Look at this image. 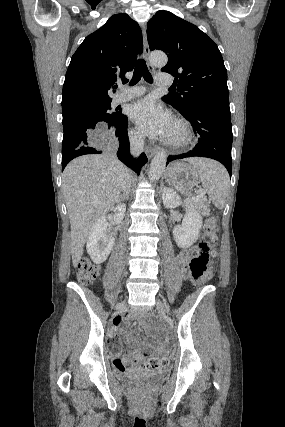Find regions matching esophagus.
Segmentation results:
<instances>
[{
    "label": "esophagus",
    "mask_w": 285,
    "mask_h": 427,
    "mask_svg": "<svg viewBox=\"0 0 285 427\" xmlns=\"http://www.w3.org/2000/svg\"><path fill=\"white\" fill-rule=\"evenodd\" d=\"M142 33H143V45H144V54H145V58L148 61V57L150 54V49H149V45H148V41H147V35H146V28L145 26H143L142 29ZM148 67L151 71H154V67L148 62ZM146 156L148 157V159L152 158L153 155L156 153V149L154 148H147L146 151Z\"/></svg>",
    "instance_id": "esophagus-1"
}]
</instances>
